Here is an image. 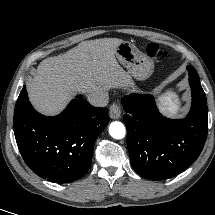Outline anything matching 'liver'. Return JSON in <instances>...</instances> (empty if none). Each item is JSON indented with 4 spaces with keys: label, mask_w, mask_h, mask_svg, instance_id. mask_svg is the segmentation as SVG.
I'll return each mask as SVG.
<instances>
[{
    "label": "liver",
    "mask_w": 215,
    "mask_h": 215,
    "mask_svg": "<svg viewBox=\"0 0 215 215\" xmlns=\"http://www.w3.org/2000/svg\"><path fill=\"white\" fill-rule=\"evenodd\" d=\"M122 42L117 38L83 41L62 55L43 60L27 86L32 105L42 114L53 116L77 92L130 86V74L115 58Z\"/></svg>",
    "instance_id": "liver-1"
}]
</instances>
